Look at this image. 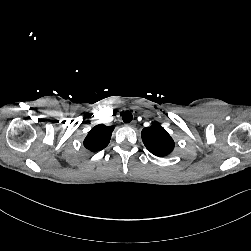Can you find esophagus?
Returning <instances> with one entry per match:
<instances>
[{
	"instance_id": "34e87169",
	"label": "esophagus",
	"mask_w": 251,
	"mask_h": 251,
	"mask_svg": "<svg viewBox=\"0 0 251 251\" xmlns=\"http://www.w3.org/2000/svg\"><path fill=\"white\" fill-rule=\"evenodd\" d=\"M135 125H136L135 121H133V122H131V123L128 124V126H130V127H134Z\"/></svg>"
}]
</instances>
